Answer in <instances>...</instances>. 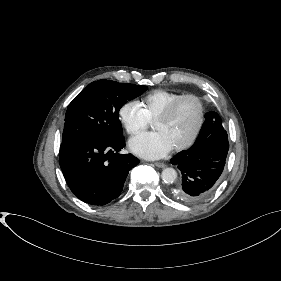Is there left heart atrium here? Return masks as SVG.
I'll return each instance as SVG.
<instances>
[{
	"label": "left heart atrium",
	"instance_id": "1",
	"mask_svg": "<svg viewBox=\"0 0 281 281\" xmlns=\"http://www.w3.org/2000/svg\"><path fill=\"white\" fill-rule=\"evenodd\" d=\"M133 153L146 159H160L172 150L165 136L158 132L142 133L129 141Z\"/></svg>",
	"mask_w": 281,
	"mask_h": 281
}]
</instances>
